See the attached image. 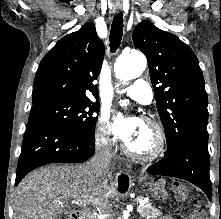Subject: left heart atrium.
<instances>
[{
	"mask_svg": "<svg viewBox=\"0 0 221 219\" xmlns=\"http://www.w3.org/2000/svg\"><path fill=\"white\" fill-rule=\"evenodd\" d=\"M141 127V121L133 116L116 115L113 123V133L116 138L128 141Z\"/></svg>",
	"mask_w": 221,
	"mask_h": 219,
	"instance_id": "1",
	"label": "left heart atrium"
}]
</instances>
